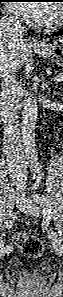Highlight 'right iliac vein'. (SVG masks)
<instances>
[{
  "label": "right iliac vein",
  "instance_id": "obj_1",
  "mask_svg": "<svg viewBox=\"0 0 63 297\" xmlns=\"http://www.w3.org/2000/svg\"><path fill=\"white\" fill-rule=\"evenodd\" d=\"M16 201H17V195L15 193L11 194L9 196L8 205H7L8 214L12 212V209H13L14 204L16 203ZM6 253H9L6 248H1L0 249V256L1 257L5 256Z\"/></svg>",
  "mask_w": 63,
  "mask_h": 297
}]
</instances>
